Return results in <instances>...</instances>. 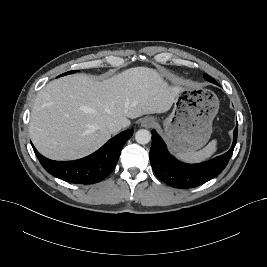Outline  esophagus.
<instances>
[{"label": "esophagus", "instance_id": "obj_1", "mask_svg": "<svg viewBox=\"0 0 267 267\" xmlns=\"http://www.w3.org/2000/svg\"><path fill=\"white\" fill-rule=\"evenodd\" d=\"M154 125V120L152 118H144L141 122V126L148 128Z\"/></svg>", "mask_w": 267, "mask_h": 267}]
</instances>
